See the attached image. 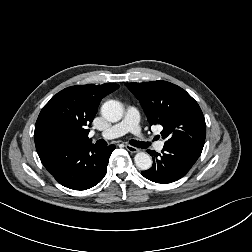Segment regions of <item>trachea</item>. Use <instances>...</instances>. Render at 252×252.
<instances>
[{
  "mask_svg": "<svg viewBox=\"0 0 252 252\" xmlns=\"http://www.w3.org/2000/svg\"><path fill=\"white\" fill-rule=\"evenodd\" d=\"M130 144L132 146H135V147H138V148H147L150 144L148 143H145V142H141V141H136V140H131L130 141ZM106 145V142H104L101 146H105Z\"/></svg>",
  "mask_w": 252,
  "mask_h": 252,
  "instance_id": "3493384b",
  "label": "trachea"
}]
</instances>
